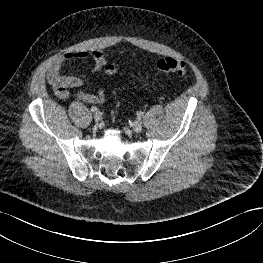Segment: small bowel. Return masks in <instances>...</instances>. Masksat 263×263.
<instances>
[{"label":"small bowel","instance_id":"c3829d8e","mask_svg":"<svg viewBox=\"0 0 263 263\" xmlns=\"http://www.w3.org/2000/svg\"><path fill=\"white\" fill-rule=\"evenodd\" d=\"M91 60L93 62V70H100L105 65V59L102 51L93 50L75 51L60 55L55 59L47 72V80L51 85L55 95L60 99H66L70 96V91L74 90L73 95L88 104H100L105 99V93L102 90L96 93H87L82 91V80L73 75H62V67L70 61Z\"/></svg>","mask_w":263,"mask_h":263}]
</instances>
